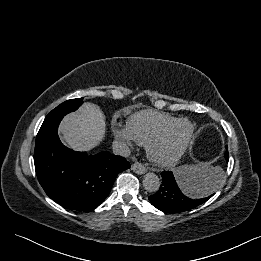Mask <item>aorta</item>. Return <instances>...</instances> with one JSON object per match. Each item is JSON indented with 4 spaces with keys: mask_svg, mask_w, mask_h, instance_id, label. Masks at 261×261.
I'll return each mask as SVG.
<instances>
[{
    "mask_svg": "<svg viewBox=\"0 0 261 261\" xmlns=\"http://www.w3.org/2000/svg\"><path fill=\"white\" fill-rule=\"evenodd\" d=\"M160 178L154 173H147L143 178V187L148 192H157L160 188Z\"/></svg>",
    "mask_w": 261,
    "mask_h": 261,
    "instance_id": "aorta-1",
    "label": "aorta"
}]
</instances>
